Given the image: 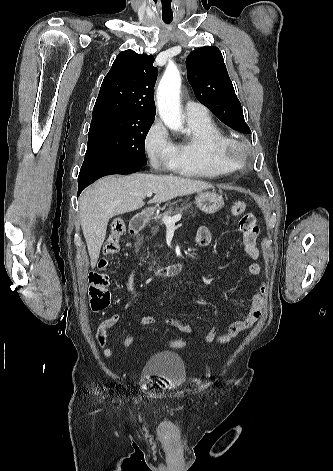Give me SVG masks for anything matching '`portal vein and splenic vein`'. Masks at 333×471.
Segmentation results:
<instances>
[{
	"label": "portal vein and splenic vein",
	"instance_id": "obj_1",
	"mask_svg": "<svg viewBox=\"0 0 333 471\" xmlns=\"http://www.w3.org/2000/svg\"><path fill=\"white\" fill-rule=\"evenodd\" d=\"M153 193H154V192L150 191V192H147L146 195H147L148 197H151ZM181 217H182L181 214H177V215H175V216H173V217H170V216H163L162 221H163V223H164L166 226L174 225L177 221H179V220L181 219Z\"/></svg>",
	"mask_w": 333,
	"mask_h": 471
}]
</instances>
